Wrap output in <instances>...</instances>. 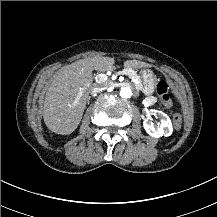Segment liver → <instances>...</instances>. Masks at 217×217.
<instances>
[{
  "mask_svg": "<svg viewBox=\"0 0 217 217\" xmlns=\"http://www.w3.org/2000/svg\"><path fill=\"white\" fill-rule=\"evenodd\" d=\"M115 60L112 57H92L78 60L61 68L54 76L45 94L42 115L46 127L59 135L72 134L82 120L89 88L92 85V71L113 70ZM152 65L140 60H125L126 70L151 68ZM81 99L72 107L76 96Z\"/></svg>",
  "mask_w": 217,
  "mask_h": 217,
  "instance_id": "obj_1",
  "label": "liver"
}]
</instances>
